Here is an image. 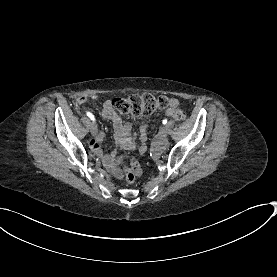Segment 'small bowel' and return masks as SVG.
I'll use <instances>...</instances> for the list:
<instances>
[{
	"instance_id": "small-bowel-1",
	"label": "small bowel",
	"mask_w": 277,
	"mask_h": 277,
	"mask_svg": "<svg viewBox=\"0 0 277 277\" xmlns=\"http://www.w3.org/2000/svg\"><path fill=\"white\" fill-rule=\"evenodd\" d=\"M82 98H88V95H82ZM93 98V97H92ZM78 100L81 101L79 98ZM88 101V100H87ZM85 102V101H84ZM169 107L167 109V114L170 116H174L178 107V101L175 98H171L168 103ZM101 115L104 119L111 122L114 132L118 138L119 145L121 148L132 149L134 148L136 142L140 143V151L141 153L146 152V140H147V130L148 125L144 124L139 129V134L137 137L131 136V124L129 122H123L119 114L116 112L113 106V102L111 100H106L103 103V108L101 111ZM98 141L105 140L106 134L99 133L96 137ZM91 149L95 152V154L99 157H103V153L99 148L98 143L93 140L90 142ZM125 158L119 153L113 154L112 157L106 156L103 159V162L110 170V172L115 173L118 178H122L123 174L118 169L116 163L122 164L124 163Z\"/></svg>"
}]
</instances>
